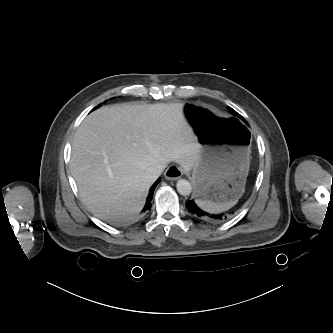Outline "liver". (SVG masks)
<instances>
[{
    "instance_id": "1",
    "label": "liver",
    "mask_w": 333,
    "mask_h": 333,
    "mask_svg": "<svg viewBox=\"0 0 333 333\" xmlns=\"http://www.w3.org/2000/svg\"><path fill=\"white\" fill-rule=\"evenodd\" d=\"M200 144L183 117V104L124 103L102 107L77 129L70 167L87 208L108 221L136 219L155 181L150 167L174 161L194 168Z\"/></svg>"
}]
</instances>
